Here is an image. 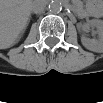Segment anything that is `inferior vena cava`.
I'll return each mask as SVG.
<instances>
[{
  "label": "inferior vena cava",
  "mask_w": 103,
  "mask_h": 103,
  "mask_svg": "<svg viewBox=\"0 0 103 103\" xmlns=\"http://www.w3.org/2000/svg\"><path fill=\"white\" fill-rule=\"evenodd\" d=\"M45 7H46V2L45 1L36 0V1L33 2L31 9L34 13H41V12L44 11Z\"/></svg>",
  "instance_id": "obj_1"
}]
</instances>
